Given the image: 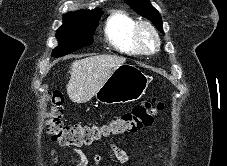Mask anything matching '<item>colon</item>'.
I'll list each match as a JSON object with an SVG mask.
<instances>
[{
    "label": "colon",
    "instance_id": "5ec220e1",
    "mask_svg": "<svg viewBox=\"0 0 227 166\" xmlns=\"http://www.w3.org/2000/svg\"><path fill=\"white\" fill-rule=\"evenodd\" d=\"M49 103L46 115L48 133L61 145L76 147L89 146L111 135L137 132L150 126L154 115L163 109V103L156 97H151L102 126L66 125L62 121L63 94L53 91L49 96Z\"/></svg>",
    "mask_w": 227,
    "mask_h": 166
}]
</instances>
